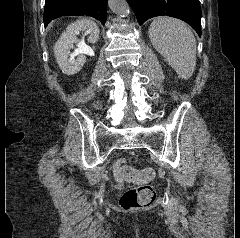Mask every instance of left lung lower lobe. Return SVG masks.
Here are the masks:
<instances>
[{
	"label": "left lung lower lobe",
	"instance_id": "0a47b994",
	"mask_svg": "<svg viewBox=\"0 0 240 238\" xmlns=\"http://www.w3.org/2000/svg\"><path fill=\"white\" fill-rule=\"evenodd\" d=\"M139 25L155 16H170L190 24L201 37L199 0H127Z\"/></svg>",
	"mask_w": 240,
	"mask_h": 238
}]
</instances>
